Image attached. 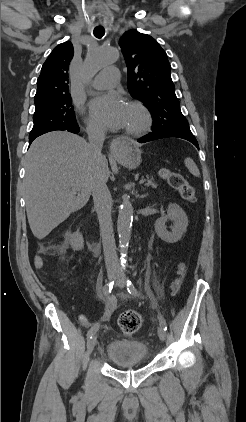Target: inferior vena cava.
<instances>
[{
    "mask_svg": "<svg viewBox=\"0 0 246 422\" xmlns=\"http://www.w3.org/2000/svg\"><path fill=\"white\" fill-rule=\"evenodd\" d=\"M87 133L90 153L97 164H100L101 150L105 140V129L99 126H90ZM106 182V176L98 169L92 181V196L99 219L107 271L120 272L111 218V195Z\"/></svg>",
    "mask_w": 246,
    "mask_h": 422,
    "instance_id": "obj_1",
    "label": "inferior vena cava"
}]
</instances>
